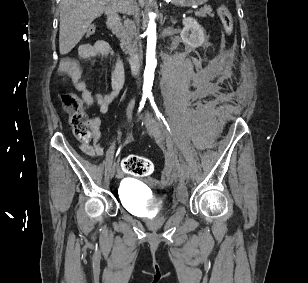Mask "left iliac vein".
Returning a JSON list of instances; mask_svg holds the SVG:
<instances>
[{
    "instance_id": "4c4485c4",
    "label": "left iliac vein",
    "mask_w": 308,
    "mask_h": 283,
    "mask_svg": "<svg viewBox=\"0 0 308 283\" xmlns=\"http://www.w3.org/2000/svg\"><path fill=\"white\" fill-rule=\"evenodd\" d=\"M146 126L149 132L155 136L157 139H162V131L156 121L151 117V115L147 114L146 116ZM181 178L188 180L191 177V171L187 164H182L180 169Z\"/></svg>"
}]
</instances>
